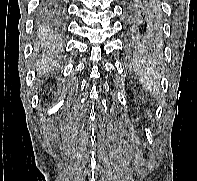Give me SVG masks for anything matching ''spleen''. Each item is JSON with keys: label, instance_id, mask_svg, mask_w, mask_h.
Returning <instances> with one entry per match:
<instances>
[{"label": "spleen", "instance_id": "obj_1", "mask_svg": "<svg viewBox=\"0 0 197 181\" xmlns=\"http://www.w3.org/2000/svg\"><path fill=\"white\" fill-rule=\"evenodd\" d=\"M139 75V80L143 86L152 94H158L159 89L157 84L159 82V77L157 73L152 69H144L139 72Z\"/></svg>", "mask_w": 197, "mask_h": 181}]
</instances>
